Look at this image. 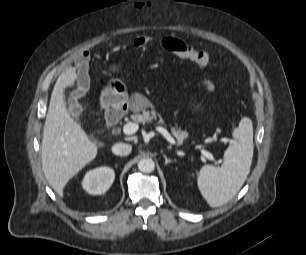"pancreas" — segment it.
<instances>
[{"label":"pancreas","instance_id":"obj_1","mask_svg":"<svg viewBox=\"0 0 306 255\" xmlns=\"http://www.w3.org/2000/svg\"><path fill=\"white\" fill-rule=\"evenodd\" d=\"M147 106H149L148 100L142 98V101L133 107L134 114L131 116L132 120L142 124L151 123L153 120H157L158 124H163L164 120L162 119L161 115L154 109L151 111L146 110ZM171 131L178 142H182L188 137V133L186 131H182L178 128L171 127Z\"/></svg>","mask_w":306,"mask_h":255}]
</instances>
